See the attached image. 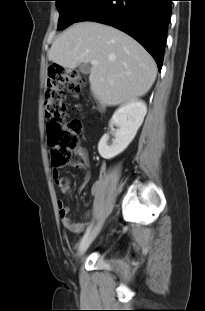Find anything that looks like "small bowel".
I'll use <instances>...</instances> for the list:
<instances>
[{"label":"small bowel","mask_w":205,"mask_h":311,"mask_svg":"<svg viewBox=\"0 0 205 311\" xmlns=\"http://www.w3.org/2000/svg\"><path fill=\"white\" fill-rule=\"evenodd\" d=\"M74 155L76 157V160L69 163L70 167L86 170V174L84 177V183H88L90 180V172L88 171L89 167V158L86 151V148L84 146H79L77 149L74 150ZM53 176L56 182V185L58 186L60 192L62 194L68 195L70 194V182L67 178L61 177L59 172L57 170L53 171ZM99 189V183H96L92 186L91 192L93 195L97 193ZM58 206V212L59 216L62 221V225L64 228H66L68 231L72 233H80L84 230V228L87 225V222L85 221H73L69 217V207L66 204L64 200H58L57 201ZM88 214H86L85 217H87Z\"/></svg>","instance_id":"small-bowel-1"}]
</instances>
